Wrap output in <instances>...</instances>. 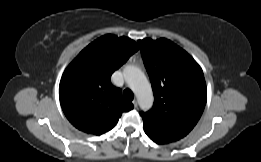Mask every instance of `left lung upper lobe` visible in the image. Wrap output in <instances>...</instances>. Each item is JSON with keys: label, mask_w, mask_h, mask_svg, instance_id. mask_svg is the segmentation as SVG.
<instances>
[{"label": "left lung upper lobe", "mask_w": 261, "mask_h": 162, "mask_svg": "<svg viewBox=\"0 0 261 162\" xmlns=\"http://www.w3.org/2000/svg\"><path fill=\"white\" fill-rule=\"evenodd\" d=\"M149 74L154 104L141 112L144 129L154 136L177 141L200 119L207 100L201 67L182 48L168 39L138 40Z\"/></svg>", "instance_id": "1"}]
</instances>
